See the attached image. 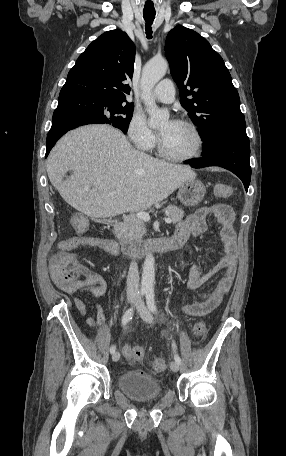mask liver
<instances>
[{
    "label": "liver",
    "instance_id": "obj_1",
    "mask_svg": "<svg viewBox=\"0 0 286 456\" xmlns=\"http://www.w3.org/2000/svg\"><path fill=\"white\" fill-rule=\"evenodd\" d=\"M47 174L61 197L92 220L147 209L196 178L187 166L134 149L108 125L83 126L63 136L48 156Z\"/></svg>",
    "mask_w": 286,
    "mask_h": 456
}]
</instances>
